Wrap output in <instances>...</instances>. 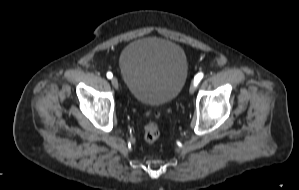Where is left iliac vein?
Returning <instances> with one entry per match:
<instances>
[{"label":"left iliac vein","mask_w":299,"mask_h":190,"mask_svg":"<svg viewBox=\"0 0 299 190\" xmlns=\"http://www.w3.org/2000/svg\"><path fill=\"white\" fill-rule=\"evenodd\" d=\"M195 88H196V86H195L194 83H193V84L190 86L189 92H190L191 94H193L194 91H195Z\"/></svg>","instance_id":"4c4485c4"}]
</instances>
